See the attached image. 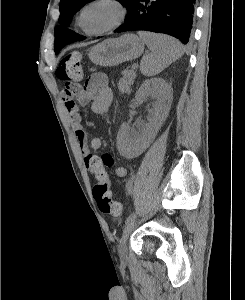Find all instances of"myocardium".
Segmentation results:
<instances>
[{
  "instance_id": "f54148a6",
  "label": "myocardium",
  "mask_w": 245,
  "mask_h": 300,
  "mask_svg": "<svg viewBox=\"0 0 245 300\" xmlns=\"http://www.w3.org/2000/svg\"><path fill=\"white\" fill-rule=\"evenodd\" d=\"M96 5H108L115 9L117 16L113 23L107 27L98 29V30H89L83 24V17L85 12ZM127 18V9L120 0H90L85 5L81 7L77 17L78 26L87 34L90 35H100L107 32H110L118 28Z\"/></svg>"
}]
</instances>
